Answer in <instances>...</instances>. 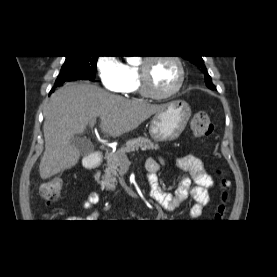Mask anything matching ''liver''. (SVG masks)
<instances>
[{"label": "liver", "mask_w": 277, "mask_h": 277, "mask_svg": "<svg viewBox=\"0 0 277 277\" xmlns=\"http://www.w3.org/2000/svg\"><path fill=\"white\" fill-rule=\"evenodd\" d=\"M163 105L132 101L86 83H68L56 90L45 109V151L39 165L42 179L75 166L80 158L71 140L100 119L105 136L119 137L136 129Z\"/></svg>", "instance_id": "liver-1"}]
</instances>
